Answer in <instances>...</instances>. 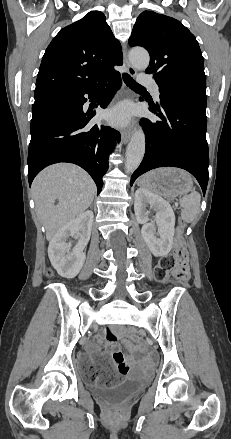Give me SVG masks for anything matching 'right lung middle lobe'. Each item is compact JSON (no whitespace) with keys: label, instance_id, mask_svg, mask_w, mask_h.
Listing matches in <instances>:
<instances>
[{"label":"right lung middle lobe","instance_id":"1","mask_svg":"<svg viewBox=\"0 0 231 439\" xmlns=\"http://www.w3.org/2000/svg\"><path fill=\"white\" fill-rule=\"evenodd\" d=\"M65 98L54 94H48L36 97L32 106V119H41L52 114L58 113L64 109L66 103Z\"/></svg>","mask_w":231,"mask_h":439}]
</instances>
